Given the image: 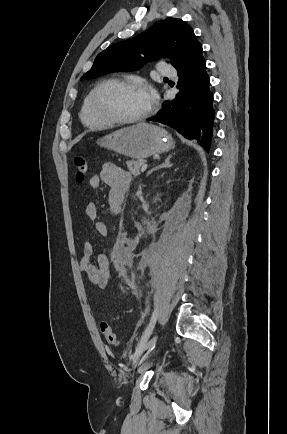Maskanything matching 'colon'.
<instances>
[{"label":"colon","mask_w":287,"mask_h":434,"mask_svg":"<svg viewBox=\"0 0 287 434\" xmlns=\"http://www.w3.org/2000/svg\"><path fill=\"white\" fill-rule=\"evenodd\" d=\"M87 170H88V166H87V162L85 160V158L81 157V156H77L74 159V172H75V178L78 182H82L84 181V179L86 178L87 175ZM100 330L101 333L103 334L105 340L113 346H118L119 345V339L116 335V333L114 332L113 328L111 327V325L108 322H101L100 323Z\"/></svg>","instance_id":"1"}]
</instances>
